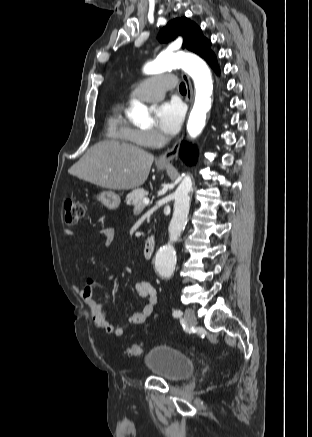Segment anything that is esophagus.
Here are the masks:
<instances>
[{
	"instance_id": "obj_1",
	"label": "esophagus",
	"mask_w": 312,
	"mask_h": 437,
	"mask_svg": "<svg viewBox=\"0 0 312 437\" xmlns=\"http://www.w3.org/2000/svg\"><path fill=\"white\" fill-rule=\"evenodd\" d=\"M182 79L185 82L187 94H186V100L188 103H191L193 100V88L190 81V78L186 74H182ZM182 136L177 139L173 147L169 150H167L165 153L160 155L157 159V163L161 165L169 164L179 153L180 146H181Z\"/></svg>"
}]
</instances>
